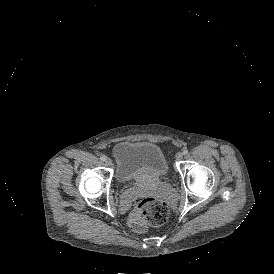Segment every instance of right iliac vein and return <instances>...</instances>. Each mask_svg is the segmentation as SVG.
<instances>
[{"mask_svg": "<svg viewBox=\"0 0 274 274\" xmlns=\"http://www.w3.org/2000/svg\"><path fill=\"white\" fill-rule=\"evenodd\" d=\"M105 164L107 165V166H111L112 165V161H111V159H106L105 160Z\"/></svg>", "mask_w": 274, "mask_h": 274, "instance_id": "1", "label": "right iliac vein"}]
</instances>
